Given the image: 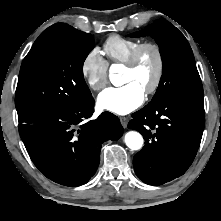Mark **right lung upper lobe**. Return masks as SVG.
Wrapping results in <instances>:
<instances>
[{"instance_id": "cb5924a9", "label": "right lung upper lobe", "mask_w": 221, "mask_h": 221, "mask_svg": "<svg viewBox=\"0 0 221 221\" xmlns=\"http://www.w3.org/2000/svg\"><path fill=\"white\" fill-rule=\"evenodd\" d=\"M82 32L79 30H76L75 28L64 24V23H57L49 28H47L35 41L39 42L41 40H44L46 38L50 37H56V36H68V37H77L81 35Z\"/></svg>"}]
</instances>
